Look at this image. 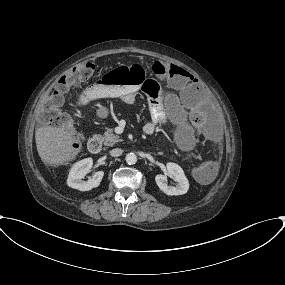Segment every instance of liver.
Masks as SVG:
<instances>
[{"label": "liver", "mask_w": 285, "mask_h": 285, "mask_svg": "<svg viewBox=\"0 0 285 285\" xmlns=\"http://www.w3.org/2000/svg\"><path fill=\"white\" fill-rule=\"evenodd\" d=\"M35 140L41 160L49 166L66 165L75 158L73 144L77 140L68 125L40 127L35 132Z\"/></svg>", "instance_id": "6515ba94"}]
</instances>
